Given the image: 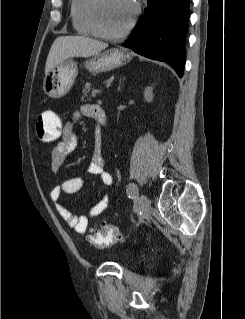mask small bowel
Masks as SVG:
<instances>
[{"label":"small bowel","instance_id":"c3829d8e","mask_svg":"<svg viewBox=\"0 0 245 319\" xmlns=\"http://www.w3.org/2000/svg\"><path fill=\"white\" fill-rule=\"evenodd\" d=\"M104 111L101 106L95 104L83 105L77 110L71 120L65 122L61 134L60 141L53 147L51 151V169L57 173L62 168L68 154L73 152L78 143L79 137L74 130V124L81 118H89L98 121V116ZM89 173L99 178L105 186H111L113 183L112 175L105 169V160L100 149L99 134H95V147L93 162L89 167ZM83 179L80 177L68 178L57 184L50 191V199L55 209L67 225L72 227L77 234H83L89 224L91 218L101 215L109 206L110 198L104 196L97 204H95L88 215L77 216L69 211L60 201L62 194H74L79 192L83 187Z\"/></svg>","mask_w":245,"mask_h":319}]
</instances>
